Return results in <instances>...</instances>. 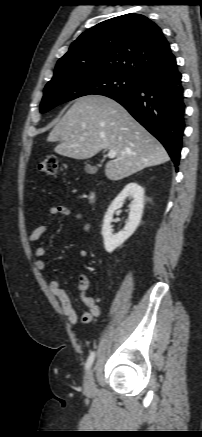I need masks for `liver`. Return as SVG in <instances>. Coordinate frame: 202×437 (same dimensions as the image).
<instances>
[{
    "label": "liver",
    "mask_w": 202,
    "mask_h": 437,
    "mask_svg": "<svg viewBox=\"0 0 202 437\" xmlns=\"http://www.w3.org/2000/svg\"><path fill=\"white\" fill-rule=\"evenodd\" d=\"M47 141L60 142L56 153L80 160L103 149L114 150L116 156L105 166V175L112 181L169 161L161 143L124 107L100 95L78 98L54 126Z\"/></svg>",
    "instance_id": "obj_1"
}]
</instances>
